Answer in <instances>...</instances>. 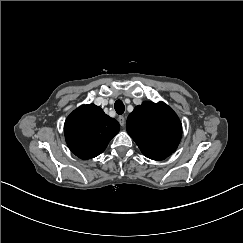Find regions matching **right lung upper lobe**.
Wrapping results in <instances>:
<instances>
[{
  "mask_svg": "<svg viewBox=\"0 0 243 243\" xmlns=\"http://www.w3.org/2000/svg\"><path fill=\"white\" fill-rule=\"evenodd\" d=\"M119 123L94 104L82 105L66 119L64 133L69 149L87 160L101 154L119 132Z\"/></svg>",
  "mask_w": 243,
  "mask_h": 243,
  "instance_id": "1",
  "label": "right lung upper lobe"
}]
</instances>
